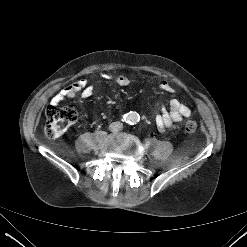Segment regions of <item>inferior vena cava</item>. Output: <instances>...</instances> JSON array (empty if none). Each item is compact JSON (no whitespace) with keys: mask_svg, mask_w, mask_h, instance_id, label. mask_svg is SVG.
<instances>
[{"mask_svg":"<svg viewBox=\"0 0 247 247\" xmlns=\"http://www.w3.org/2000/svg\"><path fill=\"white\" fill-rule=\"evenodd\" d=\"M122 128V123L121 122H113L110 124V130L112 132H117Z\"/></svg>","mask_w":247,"mask_h":247,"instance_id":"obj_1","label":"inferior vena cava"}]
</instances>
